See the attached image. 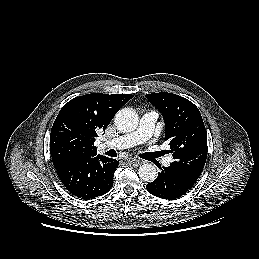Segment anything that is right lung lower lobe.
Returning a JSON list of instances; mask_svg holds the SVG:
<instances>
[{
	"instance_id": "right-lung-lower-lobe-1",
	"label": "right lung lower lobe",
	"mask_w": 259,
	"mask_h": 259,
	"mask_svg": "<svg viewBox=\"0 0 259 259\" xmlns=\"http://www.w3.org/2000/svg\"><path fill=\"white\" fill-rule=\"evenodd\" d=\"M118 165V161L105 156L82 157L56 168V172L71 194L90 200L111 189Z\"/></svg>"
}]
</instances>
